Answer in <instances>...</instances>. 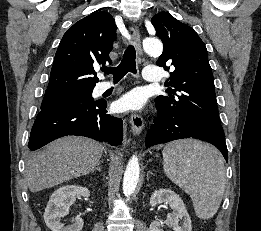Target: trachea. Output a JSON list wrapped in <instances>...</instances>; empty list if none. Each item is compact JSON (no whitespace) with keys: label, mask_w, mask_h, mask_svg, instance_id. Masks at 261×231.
<instances>
[{"label":"trachea","mask_w":261,"mask_h":231,"mask_svg":"<svg viewBox=\"0 0 261 231\" xmlns=\"http://www.w3.org/2000/svg\"><path fill=\"white\" fill-rule=\"evenodd\" d=\"M136 51L132 45H129L124 52L123 59L118 67H107L103 68L102 71L105 74H113L114 81H119L128 72L134 74L137 73L136 70Z\"/></svg>","instance_id":"obj_1"}]
</instances>
